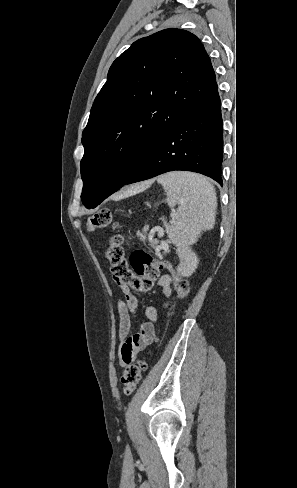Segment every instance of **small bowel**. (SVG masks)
<instances>
[{
    "instance_id": "obj_1",
    "label": "small bowel",
    "mask_w": 297,
    "mask_h": 488,
    "mask_svg": "<svg viewBox=\"0 0 297 488\" xmlns=\"http://www.w3.org/2000/svg\"><path fill=\"white\" fill-rule=\"evenodd\" d=\"M115 279V278H114ZM122 292V298L116 304L118 314V338L121 343L120 364L122 366L132 363L137 355L148 345L157 340L158 312L155 307L147 306L144 310L146 321L140 322L136 332L131 333L132 315H137L140 309L138 293L140 291L128 284L115 279ZM158 286L166 299L170 300L172 294V277L168 274L159 278Z\"/></svg>"
}]
</instances>
